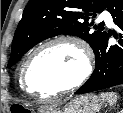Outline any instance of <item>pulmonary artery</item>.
I'll use <instances>...</instances> for the list:
<instances>
[{
	"label": "pulmonary artery",
	"instance_id": "1",
	"mask_svg": "<svg viewBox=\"0 0 123 113\" xmlns=\"http://www.w3.org/2000/svg\"><path fill=\"white\" fill-rule=\"evenodd\" d=\"M101 18L104 19L108 25H113V19L108 11H104L101 14Z\"/></svg>",
	"mask_w": 123,
	"mask_h": 113
}]
</instances>
